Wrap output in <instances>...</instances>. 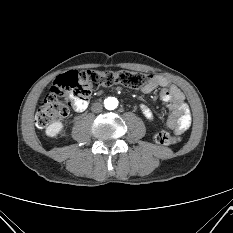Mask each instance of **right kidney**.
Instances as JSON below:
<instances>
[{
	"label": "right kidney",
	"instance_id": "obj_1",
	"mask_svg": "<svg viewBox=\"0 0 233 233\" xmlns=\"http://www.w3.org/2000/svg\"><path fill=\"white\" fill-rule=\"evenodd\" d=\"M62 128H63L62 122L60 121L53 122L46 128V135L48 137H55L60 133Z\"/></svg>",
	"mask_w": 233,
	"mask_h": 233
}]
</instances>
